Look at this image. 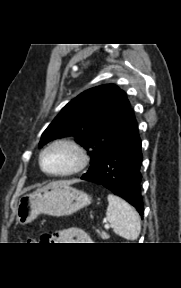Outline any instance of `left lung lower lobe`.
Masks as SVG:
<instances>
[{
    "mask_svg": "<svg viewBox=\"0 0 181 288\" xmlns=\"http://www.w3.org/2000/svg\"><path fill=\"white\" fill-rule=\"evenodd\" d=\"M142 160L137 122L133 112L130 111L119 139L108 150L96 169L84 174L81 179L111 190L133 205L143 217L144 205L140 189Z\"/></svg>",
    "mask_w": 181,
    "mask_h": 288,
    "instance_id": "0a47b994",
    "label": "left lung lower lobe"
}]
</instances>
